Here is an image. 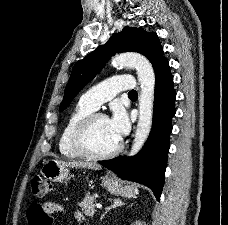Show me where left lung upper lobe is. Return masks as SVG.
<instances>
[{"mask_svg": "<svg viewBox=\"0 0 228 225\" xmlns=\"http://www.w3.org/2000/svg\"><path fill=\"white\" fill-rule=\"evenodd\" d=\"M128 51L146 56L153 68L165 58L156 33L147 32L143 28L125 27L121 33L113 35L106 44L74 65L59 111L69 106L77 93L100 72L112 55Z\"/></svg>", "mask_w": 228, "mask_h": 225, "instance_id": "5c2ea615", "label": "left lung upper lobe"}]
</instances>
